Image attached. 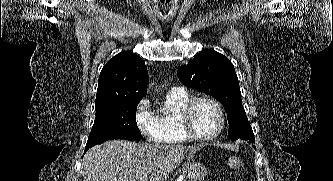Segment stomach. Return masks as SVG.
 <instances>
[{"label":"stomach","mask_w":333,"mask_h":181,"mask_svg":"<svg viewBox=\"0 0 333 181\" xmlns=\"http://www.w3.org/2000/svg\"><path fill=\"white\" fill-rule=\"evenodd\" d=\"M186 162L183 164V172L190 181H204L208 171L204 164L194 161V154H186Z\"/></svg>","instance_id":"stomach-1"}]
</instances>
